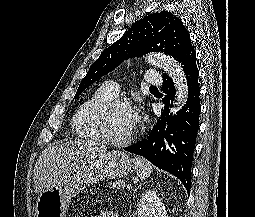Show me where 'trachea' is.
Returning a JSON list of instances; mask_svg holds the SVG:
<instances>
[{"mask_svg":"<svg viewBox=\"0 0 255 217\" xmlns=\"http://www.w3.org/2000/svg\"><path fill=\"white\" fill-rule=\"evenodd\" d=\"M150 88H152V89H157V87H156V86H151Z\"/></svg>","mask_w":255,"mask_h":217,"instance_id":"trachea-1","label":"trachea"}]
</instances>
